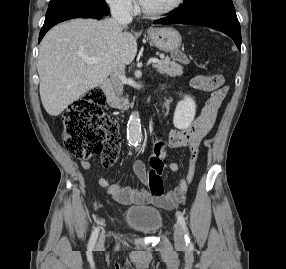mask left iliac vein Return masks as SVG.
<instances>
[{
  "label": "left iliac vein",
  "mask_w": 286,
  "mask_h": 269,
  "mask_svg": "<svg viewBox=\"0 0 286 269\" xmlns=\"http://www.w3.org/2000/svg\"><path fill=\"white\" fill-rule=\"evenodd\" d=\"M174 240L176 245L183 246L185 244L184 231L180 224H176L174 228Z\"/></svg>",
  "instance_id": "4c4485c4"
}]
</instances>
